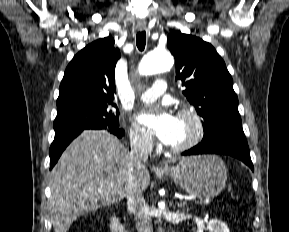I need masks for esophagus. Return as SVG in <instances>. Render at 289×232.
Wrapping results in <instances>:
<instances>
[{
  "label": "esophagus",
  "mask_w": 289,
  "mask_h": 232,
  "mask_svg": "<svg viewBox=\"0 0 289 232\" xmlns=\"http://www.w3.org/2000/svg\"><path fill=\"white\" fill-rule=\"evenodd\" d=\"M145 28H146V25H145L144 23H139V24H137V29H138L139 31H143V30H145ZM156 168H157V169H162V168H163V165H157Z\"/></svg>",
  "instance_id": "esophagus-1"
}]
</instances>
